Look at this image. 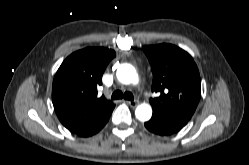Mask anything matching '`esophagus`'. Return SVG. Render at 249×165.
<instances>
[{
    "label": "esophagus",
    "mask_w": 249,
    "mask_h": 165,
    "mask_svg": "<svg viewBox=\"0 0 249 165\" xmlns=\"http://www.w3.org/2000/svg\"><path fill=\"white\" fill-rule=\"evenodd\" d=\"M131 107H136L139 104L138 100H134V101H128L127 102Z\"/></svg>",
    "instance_id": "34e87169"
}]
</instances>
